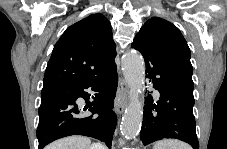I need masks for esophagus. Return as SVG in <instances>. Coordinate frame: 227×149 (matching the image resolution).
Here are the masks:
<instances>
[{"label":"esophagus","mask_w":227,"mask_h":149,"mask_svg":"<svg viewBox=\"0 0 227 149\" xmlns=\"http://www.w3.org/2000/svg\"><path fill=\"white\" fill-rule=\"evenodd\" d=\"M127 94L128 88L126 83L122 78H120L117 88L118 103L116 106V111L118 114H122L127 106Z\"/></svg>","instance_id":"1"}]
</instances>
